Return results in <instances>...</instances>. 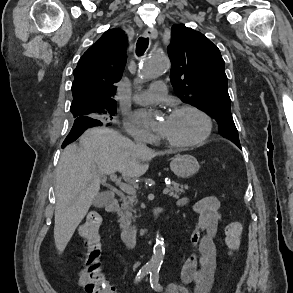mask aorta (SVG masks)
<instances>
[{
    "mask_svg": "<svg viewBox=\"0 0 293 293\" xmlns=\"http://www.w3.org/2000/svg\"><path fill=\"white\" fill-rule=\"evenodd\" d=\"M168 57L162 52H150L143 59L138 76L141 80H151L162 75L168 68ZM165 246L161 237L156 238L153 255L147 264L150 271L156 272L160 269L164 259Z\"/></svg>",
    "mask_w": 293,
    "mask_h": 293,
    "instance_id": "aorta-1",
    "label": "aorta"
}]
</instances>
